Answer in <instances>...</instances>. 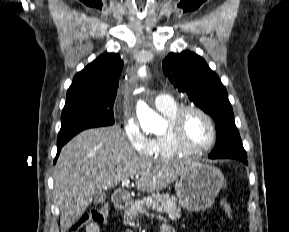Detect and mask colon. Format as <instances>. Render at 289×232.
Listing matches in <instances>:
<instances>
[{
	"instance_id": "obj_1",
	"label": "colon",
	"mask_w": 289,
	"mask_h": 232,
	"mask_svg": "<svg viewBox=\"0 0 289 232\" xmlns=\"http://www.w3.org/2000/svg\"><path fill=\"white\" fill-rule=\"evenodd\" d=\"M221 208L228 218L232 219L233 211L230 203L226 199L221 200ZM107 210L106 209H92L83 213L78 220L70 227L68 232H79L84 226L89 224L101 225L106 222Z\"/></svg>"
}]
</instances>
